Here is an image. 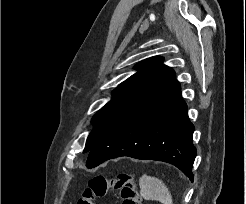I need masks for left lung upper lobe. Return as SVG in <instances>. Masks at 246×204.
<instances>
[{
  "instance_id": "1",
  "label": "left lung upper lobe",
  "mask_w": 246,
  "mask_h": 204,
  "mask_svg": "<svg viewBox=\"0 0 246 204\" xmlns=\"http://www.w3.org/2000/svg\"><path fill=\"white\" fill-rule=\"evenodd\" d=\"M155 56L136 65L138 72L122 82L112 99L92 118L84 152H89L98 138L118 119L175 79L174 71Z\"/></svg>"
}]
</instances>
